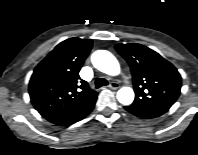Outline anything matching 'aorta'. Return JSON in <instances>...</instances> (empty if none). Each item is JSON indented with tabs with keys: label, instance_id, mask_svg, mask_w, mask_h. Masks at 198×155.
<instances>
[{
	"label": "aorta",
	"instance_id": "1",
	"mask_svg": "<svg viewBox=\"0 0 198 155\" xmlns=\"http://www.w3.org/2000/svg\"><path fill=\"white\" fill-rule=\"evenodd\" d=\"M93 66L108 75L120 73V65L115 56L107 50H97L91 56ZM117 99L123 105H130L134 100V91L125 86L118 90Z\"/></svg>",
	"mask_w": 198,
	"mask_h": 155
}]
</instances>
